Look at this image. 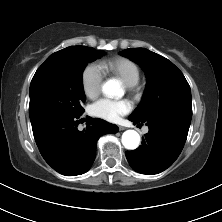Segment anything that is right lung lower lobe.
<instances>
[{
	"label": "right lung lower lobe",
	"mask_w": 222,
	"mask_h": 222,
	"mask_svg": "<svg viewBox=\"0 0 222 222\" xmlns=\"http://www.w3.org/2000/svg\"><path fill=\"white\" fill-rule=\"evenodd\" d=\"M80 115L50 114L31 122L36 144L45 161L66 176L85 173L93 164L100 136L116 133L118 127L99 118H89L78 129Z\"/></svg>",
	"instance_id": "right-lung-lower-lobe-1"
}]
</instances>
